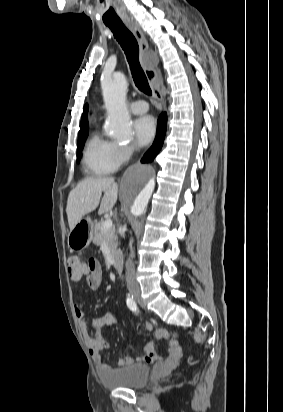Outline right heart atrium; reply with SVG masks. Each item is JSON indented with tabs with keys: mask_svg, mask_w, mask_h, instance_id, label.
I'll use <instances>...</instances> for the list:
<instances>
[{
	"mask_svg": "<svg viewBox=\"0 0 283 412\" xmlns=\"http://www.w3.org/2000/svg\"><path fill=\"white\" fill-rule=\"evenodd\" d=\"M137 148L134 144H118L117 145V156L121 163L129 161L134 153L136 152Z\"/></svg>",
	"mask_w": 283,
	"mask_h": 412,
	"instance_id": "obj_1",
	"label": "right heart atrium"
}]
</instances>
